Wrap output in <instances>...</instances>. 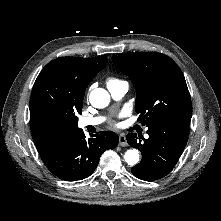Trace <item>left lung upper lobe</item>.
Listing matches in <instances>:
<instances>
[{
	"mask_svg": "<svg viewBox=\"0 0 221 221\" xmlns=\"http://www.w3.org/2000/svg\"><path fill=\"white\" fill-rule=\"evenodd\" d=\"M117 69L128 75L136 89L138 121L146 126L161 121L190 124L192 104L178 65L157 52L112 56Z\"/></svg>",
	"mask_w": 221,
	"mask_h": 221,
	"instance_id": "1",
	"label": "left lung upper lobe"
}]
</instances>
